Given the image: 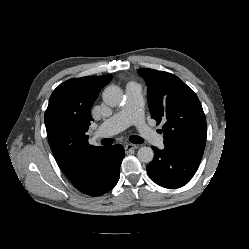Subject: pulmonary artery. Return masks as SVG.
I'll return each mask as SVG.
<instances>
[{
    "mask_svg": "<svg viewBox=\"0 0 249 249\" xmlns=\"http://www.w3.org/2000/svg\"><path fill=\"white\" fill-rule=\"evenodd\" d=\"M143 91L141 86L130 84L126 87V101L123 108L111 118L104 121L96 130V138L114 135L133 124L148 143L161 147L163 137L150 128L143 118Z\"/></svg>",
    "mask_w": 249,
    "mask_h": 249,
    "instance_id": "1",
    "label": "pulmonary artery"
}]
</instances>
